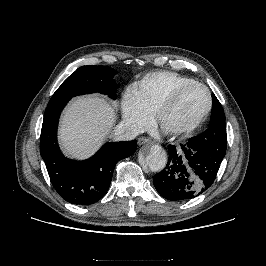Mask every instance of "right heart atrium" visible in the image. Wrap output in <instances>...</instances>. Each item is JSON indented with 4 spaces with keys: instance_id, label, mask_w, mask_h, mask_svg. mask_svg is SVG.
Here are the masks:
<instances>
[{
    "instance_id": "1",
    "label": "right heart atrium",
    "mask_w": 266,
    "mask_h": 266,
    "mask_svg": "<svg viewBox=\"0 0 266 266\" xmlns=\"http://www.w3.org/2000/svg\"><path fill=\"white\" fill-rule=\"evenodd\" d=\"M122 117L125 124L135 131L144 129L151 121L150 114L138 104L131 91L122 100Z\"/></svg>"
}]
</instances>
